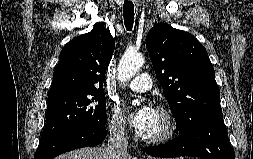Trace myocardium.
I'll list each match as a JSON object with an SVG mask.
<instances>
[{"label":"myocardium","mask_w":253,"mask_h":159,"mask_svg":"<svg viewBox=\"0 0 253 159\" xmlns=\"http://www.w3.org/2000/svg\"><path fill=\"white\" fill-rule=\"evenodd\" d=\"M164 121V130L156 136L140 135V138L150 144H163L172 140L177 134V124L172 114L163 107H158L156 110Z\"/></svg>","instance_id":"1"}]
</instances>
